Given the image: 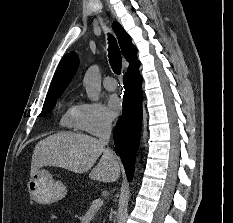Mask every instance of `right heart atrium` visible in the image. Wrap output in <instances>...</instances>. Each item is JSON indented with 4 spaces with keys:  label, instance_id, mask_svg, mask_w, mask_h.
Returning a JSON list of instances; mask_svg holds the SVG:
<instances>
[{
    "label": "right heart atrium",
    "instance_id": "d8ad5b80",
    "mask_svg": "<svg viewBox=\"0 0 233 223\" xmlns=\"http://www.w3.org/2000/svg\"><path fill=\"white\" fill-rule=\"evenodd\" d=\"M112 121L99 103L84 102L79 105V129L98 135L112 129Z\"/></svg>",
    "mask_w": 233,
    "mask_h": 223
}]
</instances>
